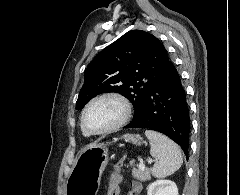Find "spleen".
I'll return each instance as SVG.
<instances>
[{"instance_id":"3e777b00","label":"spleen","mask_w":240,"mask_h":195,"mask_svg":"<svg viewBox=\"0 0 240 195\" xmlns=\"http://www.w3.org/2000/svg\"><path fill=\"white\" fill-rule=\"evenodd\" d=\"M146 137L150 141V153L155 159V163L151 169L154 177H167L174 171H177L183 163L181 149L175 141L169 139L167 135L146 129Z\"/></svg>"}]
</instances>
